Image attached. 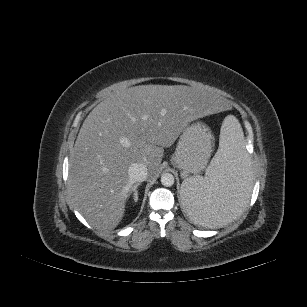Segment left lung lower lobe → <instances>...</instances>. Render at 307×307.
Wrapping results in <instances>:
<instances>
[{
    "mask_svg": "<svg viewBox=\"0 0 307 307\" xmlns=\"http://www.w3.org/2000/svg\"><path fill=\"white\" fill-rule=\"evenodd\" d=\"M228 211H229V210H228ZM228 211H227V207L225 208V206H224V210H222V211H220V212H221V213H222V212H223V213H224V212L226 213V212H228ZM217 213L219 214V212H217Z\"/></svg>",
    "mask_w": 307,
    "mask_h": 307,
    "instance_id": "obj_1",
    "label": "left lung lower lobe"
}]
</instances>
